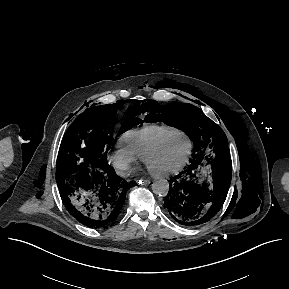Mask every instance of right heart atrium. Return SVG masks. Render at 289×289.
<instances>
[{
  "label": "right heart atrium",
  "mask_w": 289,
  "mask_h": 289,
  "mask_svg": "<svg viewBox=\"0 0 289 289\" xmlns=\"http://www.w3.org/2000/svg\"><path fill=\"white\" fill-rule=\"evenodd\" d=\"M107 161L121 176H127L137 164L138 157L126 146L117 144L108 154Z\"/></svg>",
  "instance_id": "obj_1"
}]
</instances>
